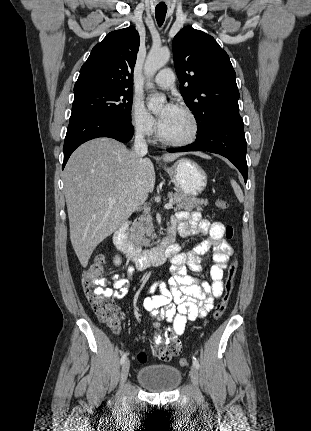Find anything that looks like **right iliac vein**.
I'll return each mask as SVG.
<instances>
[{"label": "right iliac vein", "mask_w": 311, "mask_h": 431, "mask_svg": "<svg viewBox=\"0 0 311 431\" xmlns=\"http://www.w3.org/2000/svg\"><path fill=\"white\" fill-rule=\"evenodd\" d=\"M129 369H130V361L126 360L123 363V366L121 369V375H120V383L121 384H123L126 381L128 374H129Z\"/></svg>", "instance_id": "right-iliac-vein-1"}]
</instances>
